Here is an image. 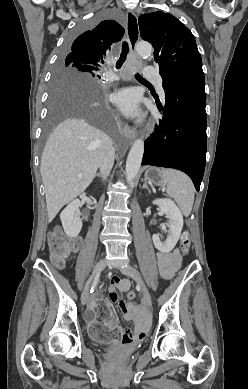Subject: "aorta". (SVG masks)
<instances>
[{"instance_id": "762f6f07", "label": "aorta", "mask_w": 248, "mask_h": 389, "mask_svg": "<svg viewBox=\"0 0 248 389\" xmlns=\"http://www.w3.org/2000/svg\"><path fill=\"white\" fill-rule=\"evenodd\" d=\"M138 54L142 57H149L152 54V46L147 42H139L136 46ZM144 153V141L137 139L129 151L126 161V180L132 182L138 174L141 167L142 157Z\"/></svg>"}]
</instances>
